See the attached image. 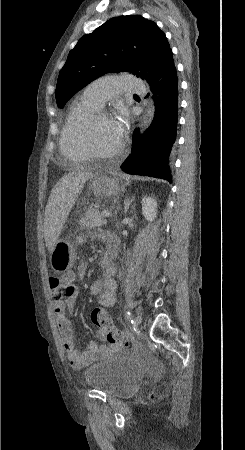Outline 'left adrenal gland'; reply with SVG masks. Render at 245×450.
<instances>
[{"instance_id":"a2214340","label":"left adrenal gland","mask_w":245,"mask_h":450,"mask_svg":"<svg viewBox=\"0 0 245 450\" xmlns=\"http://www.w3.org/2000/svg\"><path fill=\"white\" fill-rule=\"evenodd\" d=\"M134 198H135V196H133L132 198H125V200H124V213L125 214L127 213L129 206L133 202Z\"/></svg>"}]
</instances>
